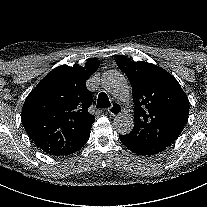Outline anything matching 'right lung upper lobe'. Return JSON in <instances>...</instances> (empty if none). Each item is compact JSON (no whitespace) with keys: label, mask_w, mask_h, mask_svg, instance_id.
Here are the masks:
<instances>
[{"label":"right lung upper lobe","mask_w":207,"mask_h":207,"mask_svg":"<svg viewBox=\"0 0 207 207\" xmlns=\"http://www.w3.org/2000/svg\"><path fill=\"white\" fill-rule=\"evenodd\" d=\"M100 61L85 66L62 65L46 75L27 96L22 122L30 138L50 155H69L89 139L95 116L88 112L93 97L86 80Z\"/></svg>","instance_id":"1"}]
</instances>
